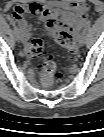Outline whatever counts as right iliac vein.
I'll list each match as a JSON object with an SVG mask.
<instances>
[{
  "label": "right iliac vein",
  "mask_w": 104,
  "mask_h": 137,
  "mask_svg": "<svg viewBox=\"0 0 104 137\" xmlns=\"http://www.w3.org/2000/svg\"><path fill=\"white\" fill-rule=\"evenodd\" d=\"M14 34H15V38H16L17 42L21 43V41H22L21 32L18 29H15L14 30Z\"/></svg>",
  "instance_id": "63e3f726"
}]
</instances>
